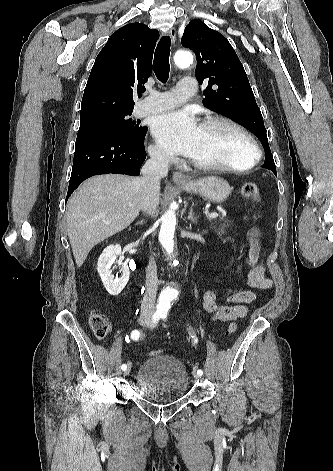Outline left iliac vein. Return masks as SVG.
<instances>
[{
	"instance_id": "4c4485c4",
	"label": "left iliac vein",
	"mask_w": 333,
	"mask_h": 471,
	"mask_svg": "<svg viewBox=\"0 0 333 471\" xmlns=\"http://www.w3.org/2000/svg\"><path fill=\"white\" fill-rule=\"evenodd\" d=\"M194 378L198 379L200 377L199 374H197L195 371L193 372Z\"/></svg>"
}]
</instances>
